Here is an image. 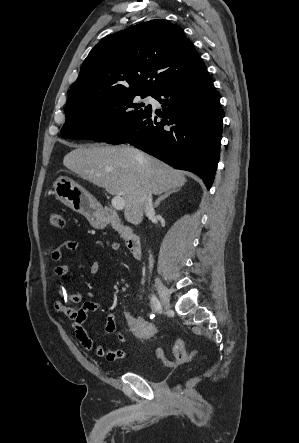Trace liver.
<instances>
[{
  "mask_svg": "<svg viewBox=\"0 0 299 443\" xmlns=\"http://www.w3.org/2000/svg\"><path fill=\"white\" fill-rule=\"evenodd\" d=\"M63 164L81 178L103 187L125 201V219L137 225L145 211L142 197L148 190L159 195L182 187V172L130 146H78Z\"/></svg>",
  "mask_w": 299,
  "mask_h": 443,
  "instance_id": "6515ba94",
  "label": "liver"
}]
</instances>
